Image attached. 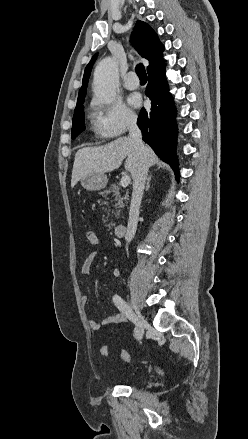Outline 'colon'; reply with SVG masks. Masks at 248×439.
<instances>
[{
    "label": "colon",
    "instance_id": "colon-1",
    "mask_svg": "<svg viewBox=\"0 0 248 439\" xmlns=\"http://www.w3.org/2000/svg\"><path fill=\"white\" fill-rule=\"evenodd\" d=\"M86 239H87V242L89 243V245H91V246H98L100 243V236L96 231H88L86 233ZM100 352H101V355L103 357H107L109 355L108 346L103 345L101 347ZM120 357L122 360H124L126 362H130L132 360L130 353L124 349H122L120 351Z\"/></svg>",
    "mask_w": 248,
    "mask_h": 439
}]
</instances>
